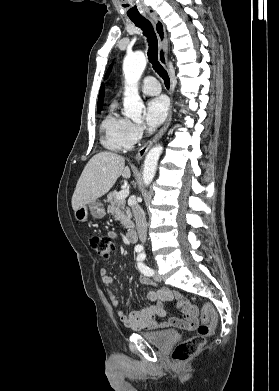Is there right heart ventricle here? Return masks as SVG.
<instances>
[{
	"mask_svg": "<svg viewBox=\"0 0 279 391\" xmlns=\"http://www.w3.org/2000/svg\"><path fill=\"white\" fill-rule=\"evenodd\" d=\"M129 124L127 118L118 114L117 105L112 104L101 124L103 145L113 151L130 149L133 142L128 137Z\"/></svg>",
	"mask_w": 279,
	"mask_h": 391,
	"instance_id": "obj_1",
	"label": "right heart ventricle"
}]
</instances>
